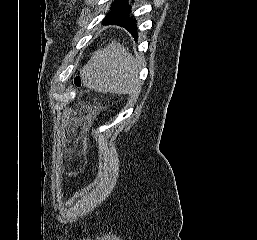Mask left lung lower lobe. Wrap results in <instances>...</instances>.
Here are the masks:
<instances>
[{"label":"left lung lower lobe","mask_w":257,"mask_h":240,"mask_svg":"<svg viewBox=\"0 0 257 240\" xmlns=\"http://www.w3.org/2000/svg\"><path fill=\"white\" fill-rule=\"evenodd\" d=\"M127 2L128 0H121L113 6L110 12L106 14L102 23L121 26L129 31L135 39H137V21L133 15H131V6Z\"/></svg>","instance_id":"obj_1"}]
</instances>
